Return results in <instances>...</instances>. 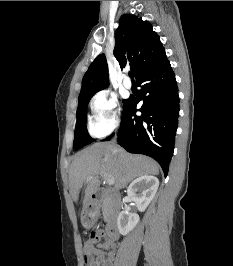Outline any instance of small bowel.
Returning a JSON list of instances; mask_svg holds the SVG:
<instances>
[{
  "instance_id": "c3829d8e",
  "label": "small bowel",
  "mask_w": 233,
  "mask_h": 266,
  "mask_svg": "<svg viewBox=\"0 0 233 266\" xmlns=\"http://www.w3.org/2000/svg\"><path fill=\"white\" fill-rule=\"evenodd\" d=\"M116 253V244L109 238L99 242L97 246L86 242L84 245L87 266H112Z\"/></svg>"
}]
</instances>
